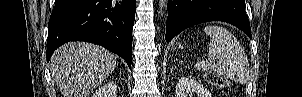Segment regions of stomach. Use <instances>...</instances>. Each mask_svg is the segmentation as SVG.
<instances>
[{
  "label": "stomach",
  "instance_id": "obj_1",
  "mask_svg": "<svg viewBox=\"0 0 302 97\" xmlns=\"http://www.w3.org/2000/svg\"><path fill=\"white\" fill-rule=\"evenodd\" d=\"M178 48L179 49H183V45L182 44H178Z\"/></svg>",
  "mask_w": 302,
  "mask_h": 97
}]
</instances>
